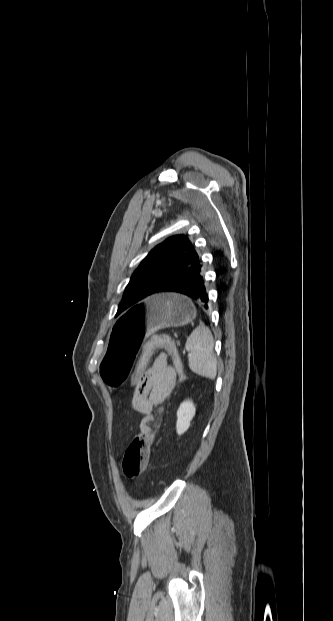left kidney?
<instances>
[{
	"mask_svg": "<svg viewBox=\"0 0 333 621\" xmlns=\"http://www.w3.org/2000/svg\"><path fill=\"white\" fill-rule=\"evenodd\" d=\"M196 408L191 400L182 402L177 410L176 431L183 434L190 427V422L195 416Z\"/></svg>",
	"mask_w": 333,
	"mask_h": 621,
	"instance_id": "obj_1",
	"label": "left kidney"
}]
</instances>
